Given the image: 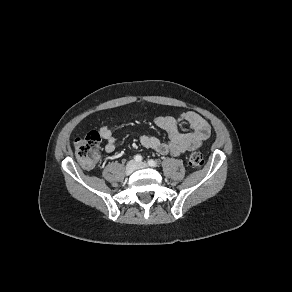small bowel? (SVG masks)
<instances>
[{
  "label": "small bowel",
  "mask_w": 292,
  "mask_h": 292,
  "mask_svg": "<svg viewBox=\"0 0 292 292\" xmlns=\"http://www.w3.org/2000/svg\"><path fill=\"white\" fill-rule=\"evenodd\" d=\"M187 123L190 132L181 133L179 131L180 123ZM157 127L163 129L169 141L164 142L154 136L145 134L139 135L140 143L147 149H152L162 155L178 156L186 151L199 148L211 134L209 123L199 114L188 111L181 114L178 118L169 115H158L154 118ZM100 135L106 141L105 151L112 153L116 149V139L108 126L100 127Z\"/></svg>",
  "instance_id": "1"
}]
</instances>
